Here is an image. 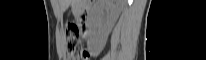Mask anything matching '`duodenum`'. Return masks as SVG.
<instances>
[{"label": "duodenum", "instance_id": "duodenum-1", "mask_svg": "<svg viewBox=\"0 0 206 60\" xmlns=\"http://www.w3.org/2000/svg\"><path fill=\"white\" fill-rule=\"evenodd\" d=\"M90 9H91V7L87 2L82 3L80 5V18H79V20H80L79 27L80 28H85L86 27L85 23L88 19Z\"/></svg>", "mask_w": 206, "mask_h": 60}]
</instances>
